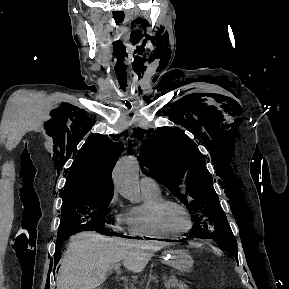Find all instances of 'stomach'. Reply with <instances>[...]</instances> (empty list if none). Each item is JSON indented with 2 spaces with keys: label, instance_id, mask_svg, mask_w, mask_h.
<instances>
[{
  "label": "stomach",
  "instance_id": "stomach-1",
  "mask_svg": "<svg viewBox=\"0 0 289 289\" xmlns=\"http://www.w3.org/2000/svg\"><path fill=\"white\" fill-rule=\"evenodd\" d=\"M164 262L180 273L191 272L194 265L192 256L183 249H174L166 252Z\"/></svg>",
  "mask_w": 289,
  "mask_h": 289
}]
</instances>
